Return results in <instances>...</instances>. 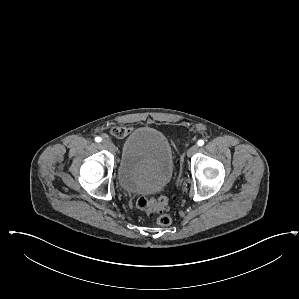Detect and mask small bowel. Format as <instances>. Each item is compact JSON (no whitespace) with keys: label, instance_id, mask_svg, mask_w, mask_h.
Instances as JSON below:
<instances>
[{"label":"small bowel","instance_id":"small-bowel-1","mask_svg":"<svg viewBox=\"0 0 299 299\" xmlns=\"http://www.w3.org/2000/svg\"><path fill=\"white\" fill-rule=\"evenodd\" d=\"M132 130V128L128 125H124V126H117L114 127L111 132L113 135H115L116 137H124L126 136L128 133H130V131Z\"/></svg>","mask_w":299,"mask_h":299}]
</instances>
